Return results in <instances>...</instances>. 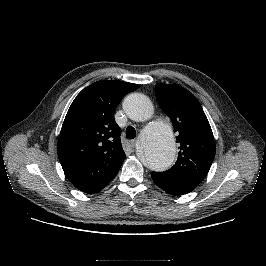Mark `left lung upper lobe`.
<instances>
[{
    "label": "left lung upper lobe",
    "instance_id": "5c2ea615",
    "mask_svg": "<svg viewBox=\"0 0 266 266\" xmlns=\"http://www.w3.org/2000/svg\"><path fill=\"white\" fill-rule=\"evenodd\" d=\"M156 97L171 119L180 144L175 165L158 173L194 189L208 174L215 157L216 146L208 119L197 98L181 86L156 84Z\"/></svg>",
    "mask_w": 266,
    "mask_h": 266
}]
</instances>
